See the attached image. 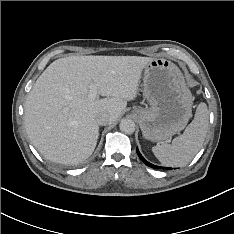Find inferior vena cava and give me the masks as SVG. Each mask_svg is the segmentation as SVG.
Here are the masks:
<instances>
[{
    "instance_id": "obj_1",
    "label": "inferior vena cava",
    "mask_w": 234,
    "mask_h": 234,
    "mask_svg": "<svg viewBox=\"0 0 234 234\" xmlns=\"http://www.w3.org/2000/svg\"><path fill=\"white\" fill-rule=\"evenodd\" d=\"M96 121L99 125H107L110 123V116L107 113H100L96 117Z\"/></svg>"
}]
</instances>
